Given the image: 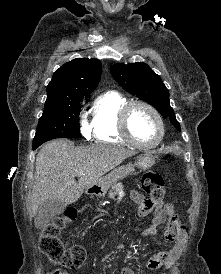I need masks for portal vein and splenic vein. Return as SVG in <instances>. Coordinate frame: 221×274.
<instances>
[{
    "label": "portal vein and splenic vein",
    "instance_id": "1",
    "mask_svg": "<svg viewBox=\"0 0 221 274\" xmlns=\"http://www.w3.org/2000/svg\"><path fill=\"white\" fill-rule=\"evenodd\" d=\"M81 175H83V171L77 172V176H78V177L81 176Z\"/></svg>",
    "mask_w": 221,
    "mask_h": 274
}]
</instances>
